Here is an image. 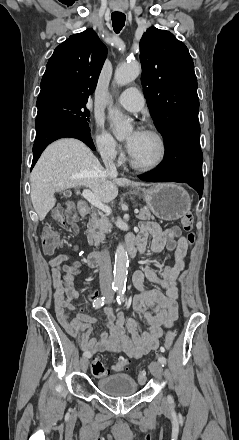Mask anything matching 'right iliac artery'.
Masks as SVG:
<instances>
[{
	"mask_svg": "<svg viewBox=\"0 0 239 440\" xmlns=\"http://www.w3.org/2000/svg\"><path fill=\"white\" fill-rule=\"evenodd\" d=\"M113 290H114V291H118L119 288H118V287H113ZM105 302H106L105 297H99V298H96V299L94 300V302H93V307H94L95 309H98V308L102 307V306L105 304ZM83 356H84V357H87V358H90V357H91V354H90L89 352H84V353H83Z\"/></svg>",
	"mask_w": 239,
	"mask_h": 440,
	"instance_id": "obj_1",
	"label": "right iliac artery"
}]
</instances>
